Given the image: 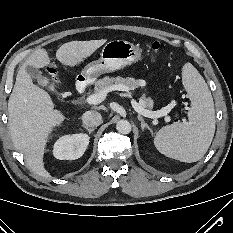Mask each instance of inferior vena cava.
I'll list each match as a JSON object with an SVG mask.
<instances>
[{"label": "inferior vena cava", "mask_w": 233, "mask_h": 233, "mask_svg": "<svg viewBox=\"0 0 233 233\" xmlns=\"http://www.w3.org/2000/svg\"><path fill=\"white\" fill-rule=\"evenodd\" d=\"M82 122L87 127H97L102 122V116L97 111H86L82 115Z\"/></svg>", "instance_id": "inferior-vena-cava-1"}]
</instances>
